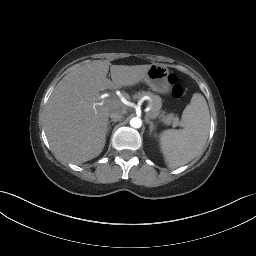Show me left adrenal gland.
I'll use <instances>...</instances> for the list:
<instances>
[{"instance_id": "a2214340", "label": "left adrenal gland", "mask_w": 256, "mask_h": 256, "mask_svg": "<svg viewBox=\"0 0 256 256\" xmlns=\"http://www.w3.org/2000/svg\"><path fill=\"white\" fill-rule=\"evenodd\" d=\"M145 122L147 124H149V134H152V131L155 129V125L153 123V121H150V119L148 117H145Z\"/></svg>"}]
</instances>
